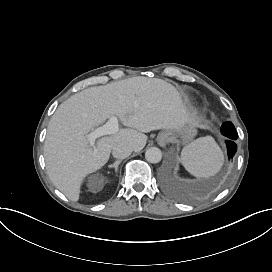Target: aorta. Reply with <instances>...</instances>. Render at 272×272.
<instances>
[{
  "instance_id": "1",
  "label": "aorta",
  "mask_w": 272,
  "mask_h": 272,
  "mask_svg": "<svg viewBox=\"0 0 272 272\" xmlns=\"http://www.w3.org/2000/svg\"><path fill=\"white\" fill-rule=\"evenodd\" d=\"M145 158L150 163H158L162 159L161 150L157 147H151L145 152Z\"/></svg>"
}]
</instances>
